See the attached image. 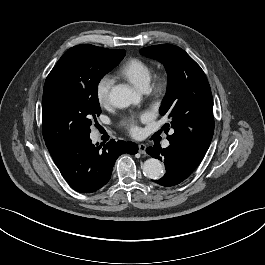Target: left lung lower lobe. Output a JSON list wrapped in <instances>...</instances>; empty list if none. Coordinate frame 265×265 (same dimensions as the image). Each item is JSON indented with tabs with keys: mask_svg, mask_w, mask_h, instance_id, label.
<instances>
[{
	"mask_svg": "<svg viewBox=\"0 0 265 265\" xmlns=\"http://www.w3.org/2000/svg\"><path fill=\"white\" fill-rule=\"evenodd\" d=\"M146 152L154 158L163 160L166 168L165 175L156 181L165 187L175 186L185 180L198 166L190 161L180 150L171 145L165 149L149 147Z\"/></svg>",
	"mask_w": 265,
	"mask_h": 265,
	"instance_id": "0a47b994",
	"label": "left lung lower lobe"
}]
</instances>
